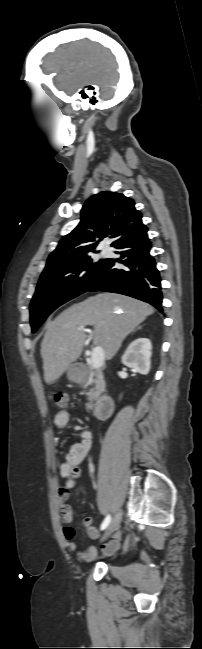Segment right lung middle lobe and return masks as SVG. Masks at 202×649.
Listing matches in <instances>:
<instances>
[{
    "mask_svg": "<svg viewBox=\"0 0 202 649\" xmlns=\"http://www.w3.org/2000/svg\"><path fill=\"white\" fill-rule=\"evenodd\" d=\"M107 261H94L88 253L77 259L71 270L40 278L30 304L32 332L39 328L54 309L86 292Z\"/></svg>",
    "mask_w": 202,
    "mask_h": 649,
    "instance_id": "dd1d6c3e",
    "label": "right lung middle lobe"
}]
</instances>
